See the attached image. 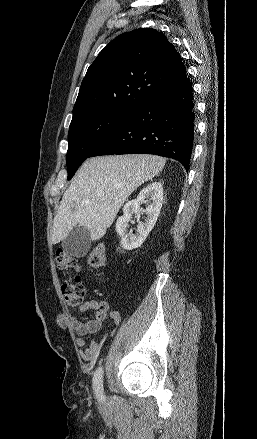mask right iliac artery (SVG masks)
Instances as JSON below:
<instances>
[{
  "instance_id": "obj_1",
  "label": "right iliac artery",
  "mask_w": 257,
  "mask_h": 439,
  "mask_svg": "<svg viewBox=\"0 0 257 439\" xmlns=\"http://www.w3.org/2000/svg\"><path fill=\"white\" fill-rule=\"evenodd\" d=\"M93 389L95 391V395L99 400H104L105 396L103 394V368L99 367L93 377Z\"/></svg>"
}]
</instances>
